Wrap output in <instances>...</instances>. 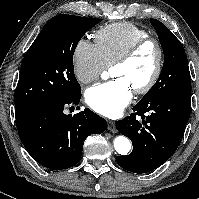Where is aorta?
I'll return each instance as SVG.
<instances>
[{
  "label": "aorta",
  "instance_id": "762f6f07",
  "mask_svg": "<svg viewBox=\"0 0 199 199\" xmlns=\"http://www.w3.org/2000/svg\"><path fill=\"white\" fill-rule=\"evenodd\" d=\"M114 147L120 155H127L131 149V143L127 137L118 136L114 139Z\"/></svg>",
  "mask_w": 199,
  "mask_h": 199
}]
</instances>
